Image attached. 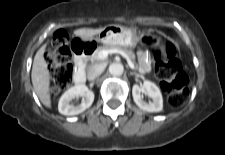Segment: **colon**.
<instances>
[{
  "label": "colon",
  "mask_w": 225,
  "mask_h": 155,
  "mask_svg": "<svg viewBox=\"0 0 225 155\" xmlns=\"http://www.w3.org/2000/svg\"><path fill=\"white\" fill-rule=\"evenodd\" d=\"M67 35L63 31L55 34L52 49L47 54L53 94L69 86L73 77L72 53ZM155 73L161 80V86L168 93V103L173 108H180L189 95V80L183 72L181 62L175 56L172 44L164 49H155Z\"/></svg>",
  "instance_id": "1"
}]
</instances>
